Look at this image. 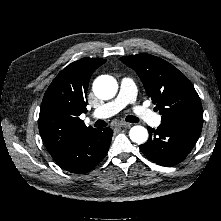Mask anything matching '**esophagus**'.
Wrapping results in <instances>:
<instances>
[{
  "label": "esophagus",
  "mask_w": 221,
  "mask_h": 221,
  "mask_svg": "<svg viewBox=\"0 0 221 221\" xmlns=\"http://www.w3.org/2000/svg\"><path fill=\"white\" fill-rule=\"evenodd\" d=\"M130 123H127V122H119L118 124H117V127H124V128H128V127H130Z\"/></svg>",
  "instance_id": "34e87169"
}]
</instances>
